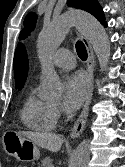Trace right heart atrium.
I'll return each mask as SVG.
<instances>
[{
    "label": "right heart atrium",
    "mask_w": 125,
    "mask_h": 167,
    "mask_svg": "<svg viewBox=\"0 0 125 167\" xmlns=\"http://www.w3.org/2000/svg\"><path fill=\"white\" fill-rule=\"evenodd\" d=\"M53 112H54L56 119H58L60 117V112L57 109H53Z\"/></svg>",
    "instance_id": "1"
}]
</instances>
